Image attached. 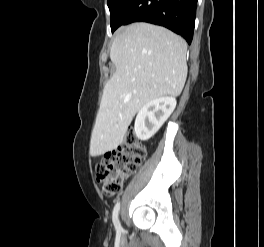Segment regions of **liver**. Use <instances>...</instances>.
Listing matches in <instances>:
<instances>
[{"label": "liver", "mask_w": 264, "mask_h": 247, "mask_svg": "<svg viewBox=\"0 0 264 247\" xmlns=\"http://www.w3.org/2000/svg\"><path fill=\"white\" fill-rule=\"evenodd\" d=\"M186 52V42L160 26L141 22L117 31L110 50L116 71L103 90L91 156L116 149L146 103L180 95L187 77Z\"/></svg>", "instance_id": "1"}]
</instances>
